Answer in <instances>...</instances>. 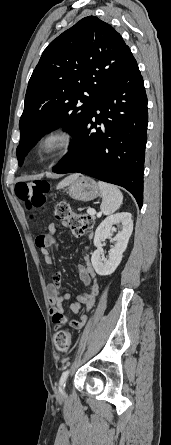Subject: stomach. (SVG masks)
I'll return each mask as SVG.
<instances>
[{"mask_svg":"<svg viewBox=\"0 0 171 445\" xmlns=\"http://www.w3.org/2000/svg\"><path fill=\"white\" fill-rule=\"evenodd\" d=\"M65 186H67L66 193L74 200L88 202L101 195L96 182L86 176H81Z\"/></svg>","mask_w":171,"mask_h":445,"instance_id":"stomach-1","label":"stomach"}]
</instances>
